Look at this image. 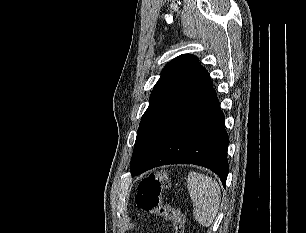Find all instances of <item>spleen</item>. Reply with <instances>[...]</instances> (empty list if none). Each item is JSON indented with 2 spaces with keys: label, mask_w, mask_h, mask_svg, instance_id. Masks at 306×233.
I'll return each mask as SVG.
<instances>
[{
  "label": "spleen",
  "mask_w": 306,
  "mask_h": 233,
  "mask_svg": "<svg viewBox=\"0 0 306 233\" xmlns=\"http://www.w3.org/2000/svg\"><path fill=\"white\" fill-rule=\"evenodd\" d=\"M187 189L193 202L195 220L204 227L213 224L220 205V186L212 177L190 172Z\"/></svg>",
  "instance_id": "3e777b00"
}]
</instances>
